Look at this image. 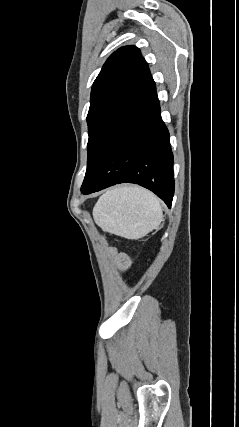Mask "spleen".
<instances>
[{"label":"spleen","instance_id":"spleen-1","mask_svg":"<svg viewBox=\"0 0 239 427\" xmlns=\"http://www.w3.org/2000/svg\"><path fill=\"white\" fill-rule=\"evenodd\" d=\"M96 224L126 239H139L156 229L163 218L160 200L152 192L133 185L105 192L93 208Z\"/></svg>","mask_w":239,"mask_h":427}]
</instances>
